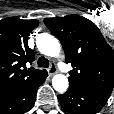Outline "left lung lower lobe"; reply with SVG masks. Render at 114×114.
I'll return each mask as SVG.
<instances>
[{"instance_id":"obj_1","label":"left lung lower lobe","mask_w":114,"mask_h":114,"mask_svg":"<svg viewBox=\"0 0 114 114\" xmlns=\"http://www.w3.org/2000/svg\"><path fill=\"white\" fill-rule=\"evenodd\" d=\"M110 95L76 86H69L63 95H58L61 106L72 114H96L106 104Z\"/></svg>"}]
</instances>
